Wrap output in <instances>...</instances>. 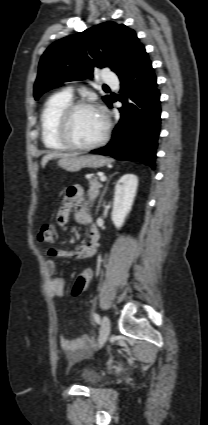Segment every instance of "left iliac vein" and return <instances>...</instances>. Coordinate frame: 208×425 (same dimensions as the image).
<instances>
[{
    "instance_id": "1",
    "label": "left iliac vein",
    "mask_w": 208,
    "mask_h": 425,
    "mask_svg": "<svg viewBox=\"0 0 208 425\" xmlns=\"http://www.w3.org/2000/svg\"><path fill=\"white\" fill-rule=\"evenodd\" d=\"M110 334V321L107 316L102 318L98 346L102 347Z\"/></svg>"
}]
</instances>
